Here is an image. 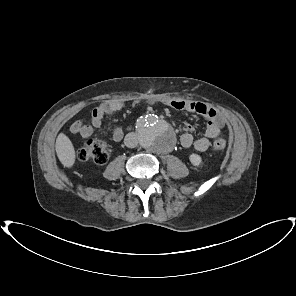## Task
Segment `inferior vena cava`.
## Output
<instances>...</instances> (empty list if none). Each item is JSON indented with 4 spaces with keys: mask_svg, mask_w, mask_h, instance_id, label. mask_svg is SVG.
Instances as JSON below:
<instances>
[{
    "mask_svg": "<svg viewBox=\"0 0 296 296\" xmlns=\"http://www.w3.org/2000/svg\"><path fill=\"white\" fill-rule=\"evenodd\" d=\"M124 143L128 148H134L138 144V137L135 133H128L125 136Z\"/></svg>",
    "mask_w": 296,
    "mask_h": 296,
    "instance_id": "obj_1",
    "label": "inferior vena cava"
}]
</instances>
